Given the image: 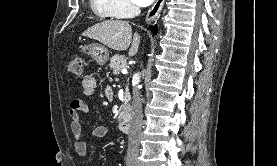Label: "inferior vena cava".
I'll return each mask as SVG.
<instances>
[{
  "label": "inferior vena cava",
  "instance_id": "obj_1",
  "mask_svg": "<svg viewBox=\"0 0 277 166\" xmlns=\"http://www.w3.org/2000/svg\"><path fill=\"white\" fill-rule=\"evenodd\" d=\"M137 14L140 13L138 7L135 8ZM142 102L141 95L137 87L133 89V102H132V121L128 137V150L127 157H137L139 153V137L142 127Z\"/></svg>",
  "mask_w": 277,
  "mask_h": 166
}]
</instances>
